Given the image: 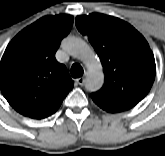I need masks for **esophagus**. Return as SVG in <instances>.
Returning a JSON list of instances; mask_svg holds the SVG:
<instances>
[{"label":"esophagus","mask_w":165,"mask_h":156,"mask_svg":"<svg viewBox=\"0 0 165 156\" xmlns=\"http://www.w3.org/2000/svg\"><path fill=\"white\" fill-rule=\"evenodd\" d=\"M76 82L78 85L82 86L85 83V79H84V77H80V78L76 79Z\"/></svg>","instance_id":"obj_1"}]
</instances>
